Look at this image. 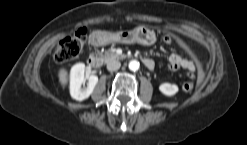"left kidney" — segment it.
Wrapping results in <instances>:
<instances>
[{
  "label": "left kidney",
  "mask_w": 247,
  "mask_h": 145,
  "mask_svg": "<svg viewBox=\"0 0 247 145\" xmlns=\"http://www.w3.org/2000/svg\"><path fill=\"white\" fill-rule=\"evenodd\" d=\"M159 90L166 96H173L178 92V86L171 83H162Z\"/></svg>",
  "instance_id": "1"
}]
</instances>
